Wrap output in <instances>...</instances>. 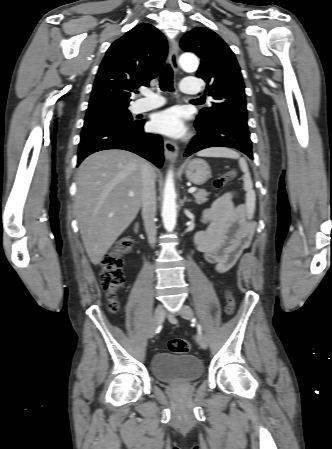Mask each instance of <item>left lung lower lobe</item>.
Here are the masks:
<instances>
[{"label":"left lung lower lobe","mask_w":332,"mask_h":449,"mask_svg":"<svg viewBox=\"0 0 332 449\" xmlns=\"http://www.w3.org/2000/svg\"><path fill=\"white\" fill-rule=\"evenodd\" d=\"M197 135L186 149L185 157L209 147H231L253 159L247 120L225 119L209 126L196 125Z\"/></svg>","instance_id":"0a47b994"}]
</instances>
